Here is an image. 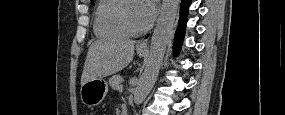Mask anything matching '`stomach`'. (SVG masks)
<instances>
[{
	"label": "stomach",
	"mask_w": 285,
	"mask_h": 115,
	"mask_svg": "<svg viewBox=\"0 0 285 115\" xmlns=\"http://www.w3.org/2000/svg\"><path fill=\"white\" fill-rule=\"evenodd\" d=\"M137 53L143 56L145 51L137 49ZM107 92L108 86L105 80L99 78L89 80L80 89L82 103L88 107H95L103 101Z\"/></svg>",
	"instance_id": "stomach-1"
}]
</instances>
